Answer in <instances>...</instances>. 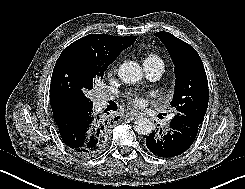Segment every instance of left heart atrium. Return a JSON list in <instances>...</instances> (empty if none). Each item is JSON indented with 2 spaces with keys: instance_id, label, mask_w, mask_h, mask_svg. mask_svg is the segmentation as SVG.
I'll use <instances>...</instances> for the list:
<instances>
[{
  "instance_id": "1",
  "label": "left heart atrium",
  "mask_w": 245,
  "mask_h": 189,
  "mask_svg": "<svg viewBox=\"0 0 245 189\" xmlns=\"http://www.w3.org/2000/svg\"><path fill=\"white\" fill-rule=\"evenodd\" d=\"M128 100L133 106H142L145 103L144 98L138 92L131 93L128 97Z\"/></svg>"
}]
</instances>
